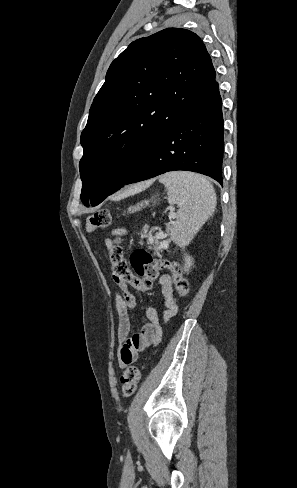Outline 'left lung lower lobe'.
Returning <instances> with one entry per match:
<instances>
[{
  "mask_svg": "<svg viewBox=\"0 0 297 488\" xmlns=\"http://www.w3.org/2000/svg\"><path fill=\"white\" fill-rule=\"evenodd\" d=\"M221 108L217 87L164 136L126 184L168 171L187 170L210 176L222 185L224 122Z\"/></svg>",
  "mask_w": 297,
  "mask_h": 488,
  "instance_id": "obj_1",
  "label": "left lung lower lobe"
}]
</instances>
